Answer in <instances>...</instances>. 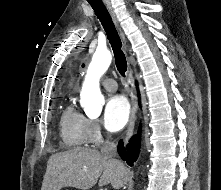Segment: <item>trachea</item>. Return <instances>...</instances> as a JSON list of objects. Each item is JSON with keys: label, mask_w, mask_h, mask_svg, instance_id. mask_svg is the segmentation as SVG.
Wrapping results in <instances>:
<instances>
[{"label": "trachea", "mask_w": 221, "mask_h": 190, "mask_svg": "<svg viewBox=\"0 0 221 190\" xmlns=\"http://www.w3.org/2000/svg\"><path fill=\"white\" fill-rule=\"evenodd\" d=\"M88 2L95 11L98 19L100 20L107 34V37L114 52L117 70L121 74V76L125 77V72L127 71V61L125 54L122 50L121 39L114 26L112 18L101 0L96 2H91L90 0H88Z\"/></svg>", "instance_id": "trachea-1"}]
</instances>
